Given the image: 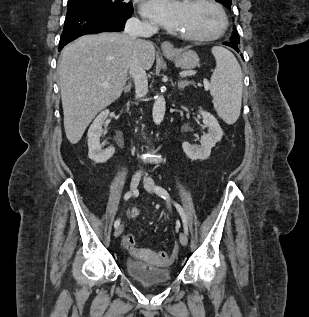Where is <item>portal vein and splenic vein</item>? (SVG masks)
Wrapping results in <instances>:
<instances>
[{
	"label": "portal vein and splenic vein",
	"mask_w": 309,
	"mask_h": 317,
	"mask_svg": "<svg viewBox=\"0 0 309 317\" xmlns=\"http://www.w3.org/2000/svg\"><path fill=\"white\" fill-rule=\"evenodd\" d=\"M209 83H208V81L207 80H204V87L206 88V89H208L209 88Z\"/></svg>",
	"instance_id": "obj_1"
}]
</instances>
